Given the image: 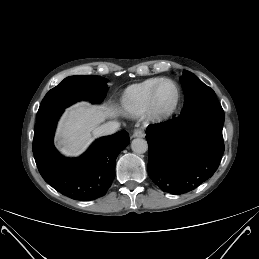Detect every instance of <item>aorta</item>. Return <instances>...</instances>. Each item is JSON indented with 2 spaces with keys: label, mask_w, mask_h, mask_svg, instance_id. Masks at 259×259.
<instances>
[{
  "label": "aorta",
  "mask_w": 259,
  "mask_h": 259,
  "mask_svg": "<svg viewBox=\"0 0 259 259\" xmlns=\"http://www.w3.org/2000/svg\"><path fill=\"white\" fill-rule=\"evenodd\" d=\"M131 149L136 154H143L148 150V143L145 139L136 138L131 143Z\"/></svg>",
  "instance_id": "aorta-1"
}]
</instances>
